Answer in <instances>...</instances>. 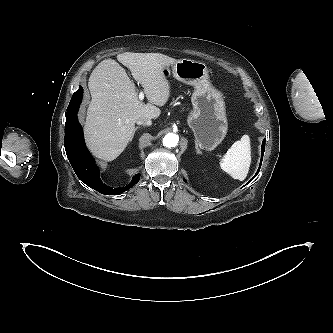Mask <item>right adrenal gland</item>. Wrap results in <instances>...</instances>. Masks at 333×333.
Instances as JSON below:
<instances>
[{
    "mask_svg": "<svg viewBox=\"0 0 333 333\" xmlns=\"http://www.w3.org/2000/svg\"><path fill=\"white\" fill-rule=\"evenodd\" d=\"M140 127H136L135 129H134V132H133V135H132V138H131V140L133 139V137H134V134H135V132H136V130L137 129H139Z\"/></svg>",
    "mask_w": 333,
    "mask_h": 333,
    "instance_id": "obj_1",
    "label": "right adrenal gland"
}]
</instances>
